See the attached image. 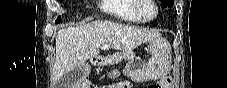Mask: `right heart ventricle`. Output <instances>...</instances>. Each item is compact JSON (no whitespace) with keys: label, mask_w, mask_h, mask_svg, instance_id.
Listing matches in <instances>:
<instances>
[{"label":"right heart ventricle","mask_w":227,"mask_h":88,"mask_svg":"<svg viewBox=\"0 0 227 88\" xmlns=\"http://www.w3.org/2000/svg\"><path fill=\"white\" fill-rule=\"evenodd\" d=\"M136 0H101V9L110 16L129 22H141L134 11Z\"/></svg>","instance_id":"obj_1"}]
</instances>
